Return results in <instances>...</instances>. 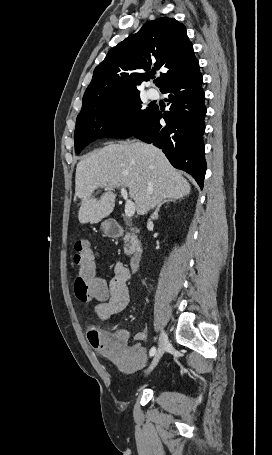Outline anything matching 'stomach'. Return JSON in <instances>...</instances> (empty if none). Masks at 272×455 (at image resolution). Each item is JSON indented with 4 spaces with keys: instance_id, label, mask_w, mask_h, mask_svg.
<instances>
[{
    "instance_id": "stomach-1",
    "label": "stomach",
    "mask_w": 272,
    "mask_h": 455,
    "mask_svg": "<svg viewBox=\"0 0 272 455\" xmlns=\"http://www.w3.org/2000/svg\"><path fill=\"white\" fill-rule=\"evenodd\" d=\"M103 228H104L105 230L107 229V224H106V223L104 224Z\"/></svg>"
}]
</instances>
